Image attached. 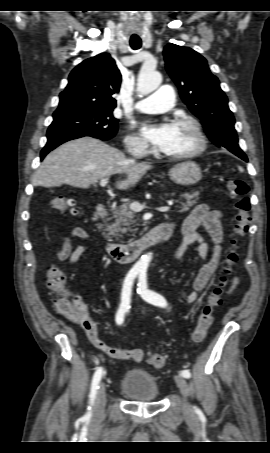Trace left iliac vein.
<instances>
[{"label":"left iliac vein","instance_id":"left-iliac-vein-1","mask_svg":"<svg viewBox=\"0 0 270 453\" xmlns=\"http://www.w3.org/2000/svg\"><path fill=\"white\" fill-rule=\"evenodd\" d=\"M174 380H175L178 388L180 389L181 394L183 395V406H182L183 412L189 413L191 411V407L187 401V397L189 394L188 384H187L185 378L181 375H175Z\"/></svg>","mask_w":270,"mask_h":453}]
</instances>
